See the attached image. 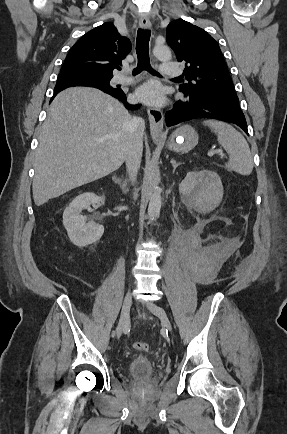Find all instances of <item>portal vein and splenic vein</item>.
Segmentation results:
<instances>
[{"label":"portal vein and splenic vein","instance_id":"1","mask_svg":"<svg viewBox=\"0 0 287 434\" xmlns=\"http://www.w3.org/2000/svg\"><path fill=\"white\" fill-rule=\"evenodd\" d=\"M215 153H220L222 155V150H220V149L217 150V151L210 150L208 152V156H213Z\"/></svg>","mask_w":287,"mask_h":434}]
</instances>
